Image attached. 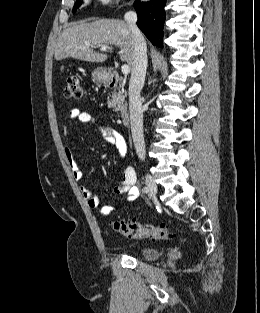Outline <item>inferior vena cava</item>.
Wrapping results in <instances>:
<instances>
[{
	"mask_svg": "<svg viewBox=\"0 0 260 313\" xmlns=\"http://www.w3.org/2000/svg\"><path fill=\"white\" fill-rule=\"evenodd\" d=\"M124 19L132 31L133 37V68L129 82V111L130 124L134 147L139 159L144 160L146 155L143 136V109L140 92L145 82L147 69V46L145 39L137 27V14L129 11Z\"/></svg>",
	"mask_w": 260,
	"mask_h": 313,
	"instance_id": "inferior-vena-cava-1",
	"label": "inferior vena cava"
}]
</instances>
